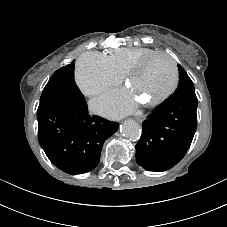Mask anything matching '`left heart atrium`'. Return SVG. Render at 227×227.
I'll return each instance as SVG.
<instances>
[{
	"instance_id": "left-heart-atrium-1",
	"label": "left heart atrium",
	"mask_w": 227,
	"mask_h": 227,
	"mask_svg": "<svg viewBox=\"0 0 227 227\" xmlns=\"http://www.w3.org/2000/svg\"><path fill=\"white\" fill-rule=\"evenodd\" d=\"M138 99L126 89L107 92L93 102V107L110 117H120L135 109Z\"/></svg>"
}]
</instances>
